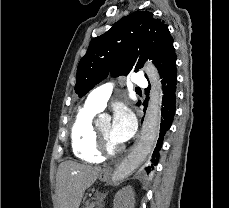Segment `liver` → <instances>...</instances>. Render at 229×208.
<instances>
[{
	"label": "liver",
	"instance_id": "1",
	"mask_svg": "<svg viewBox=\"0 0 229 208\" xmlns=\"http://www.w3.org/2000/svg\"><path fill=\"white\" fill-rule=\"evenodd\" d=\"M103 170L77 162H62L56 174V196L59 208H79L83 194L96 182Z\"/></svg>",
	"mask_w": 229,
	"mask_h": 208
}]
</instances>
